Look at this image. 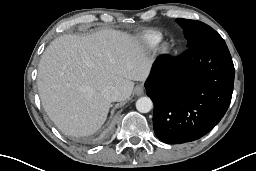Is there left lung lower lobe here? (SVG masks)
Here are the masks:
<instances>
[{
	"label": "left lung lower lobe",
	"mask_w": 256,
	"mask_h": 171,
	"mask_svg": "<svg viewBox=\"0 0 256 171\" xmlns=\"http://www.w3.org/2000/svg\"><path fill=\"white\" fill-rule=\"evenodd\" d=\"M234 73L225 42L197 44L174 59L158 57L145 82L156 136L179 144L213 129L231 102Z\"/></svg>",
	"instance_id": "1"
}]
</instances>
